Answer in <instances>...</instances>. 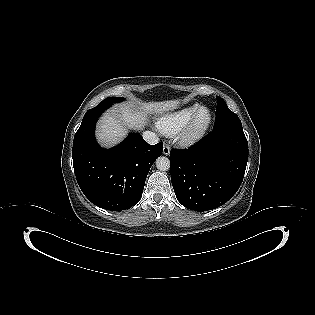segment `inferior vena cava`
<instances>
[{"mask_svg": "<svg viewBox=\"0 0 315 315\" xmlns=\"http://www.w3.org/2000/svg\"><path fill=\"white\" fill-rule=\"evenodd\" d=\"M142 136H143V139L150 145H155L159 142L158 136L151 131L143 132Z\"/></svg>", "mask_w": 315, "mask_h": 315, "instance_id": "inferior-vena-cava-1", "label": "inferior vena cava"}]
</instances>
